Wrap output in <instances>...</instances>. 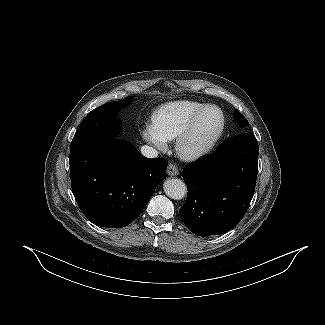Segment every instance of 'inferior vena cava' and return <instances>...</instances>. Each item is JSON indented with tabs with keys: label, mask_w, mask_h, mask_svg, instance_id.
<instances>
[{
	"label": "inferior vena cava",
	"mask_w": 325,
	"mask_h": 325,
	"mask_svg": "<svg viewBox=\"0 0 325 325\" xmlns=\"http://www.w3.org/2000/svg\"><path fill=\"white\" fill-rule=\"evenodd\" d=\"M140 151L147 158H156L158 156V151L148 145L142 146Z\"/></svg>",
	"instance_id": "1"
}]
</instances>
